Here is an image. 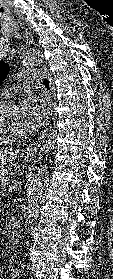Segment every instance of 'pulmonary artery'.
Masks as SVG:
<instances>
[{
  "instance_id": "e3ab8cb5",
  "label": "pulmonary artery",
  "mask_w": 113,
  "mask_h": 279,
  "mask_svg": "<svg viewBox=\"0 0 113 279\" xmlns=\"http://www.w3.org/2000/svg\"><path fill=\"white\" fill-rule=\"evenodd\" d=\"M40 77V74L37 75H32L30 73H24V74H20L19 78L23 79V86L24 87H29L31 82L34 80H38V78ZM13 91L11 90H7L6 94H11Z\"/></svg>"
}]
</instances>
